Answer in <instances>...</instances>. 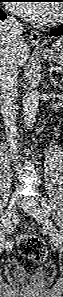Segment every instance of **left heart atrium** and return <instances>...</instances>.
I'll list each match as a JSON object with an SVG mask.
<instances>
[{"mask_svg":"<svg viewBox=\"0 0 63 297\" xmlns=\"http://www.w3.org/2000/svg\"><path fill=\"white\" fill-rule=\"evenodd\" d=\"M10 8L22 17L33 21L42 22L52 15V10L48 5L31 3H12Z\"/></svg>","mask_w":63,"mask_h":297,"instance_id":"1","label":"left heart atrium"}]
</instances>
